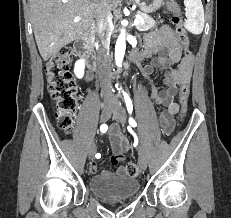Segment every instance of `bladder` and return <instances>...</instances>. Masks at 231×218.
Wrapping results in <instances>:
<instances>
[{"instance_id":"1","label":"bladder","mask_w":231,"mask_h":218,"mask_svg":"<svg viewBox=\"0 0 231 218\" xmlns=\"http://www.w3.org/2000/svg\"><path fill=\"white\" fill-rule=\"evenodd\" d=\"M140 183L128 176L101 175L94 176L89 181L90 191L104 200H128L139 191Z\"/></svg>"}]
</instances>
